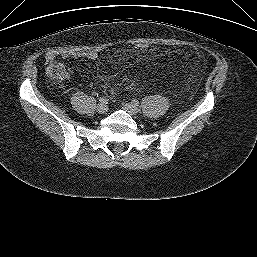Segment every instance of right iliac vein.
<instances>
[{"label":"right iliac vein","instance_id":"obj_1","mask_svg":"<svg viewBox=\"0 0 257 257\" xmlns=\"http://www.w3.org/2000/svg\"><path fill=\"white\" fill-rule=\"evenodd\" d=\"M97 112L100 114H105L108 110V107L105 103H99L96 108Z\"/></svg>","mask_w":257,"mask_h":257}]
</instances>
